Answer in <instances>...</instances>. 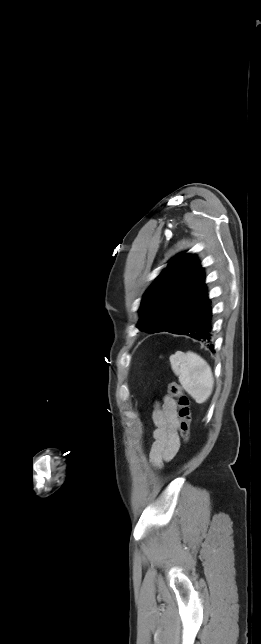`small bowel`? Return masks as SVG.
I'll list each match as a JSON object with an SVG mask.
<instances>
[{
  "instance_id": "1",
  "label": "small bowel",
  "mask_w": 261,
  "mask_h": 644,
  "mask_svg": "<svg viewBox=\"0 0 261 644\" xmlns=\"http://www.w3.org/2000/svg\"><path fill=\"white\" fill-rule=\"evenodd\" d=\"M154 430L149 461L155 468H162L165 462L174 458L180 447L178 435L179 420L174 398L165 396L157 403L152 413Z\"/></svg>"
}]
</instances>
